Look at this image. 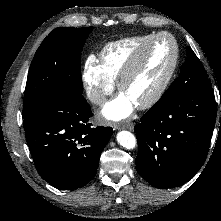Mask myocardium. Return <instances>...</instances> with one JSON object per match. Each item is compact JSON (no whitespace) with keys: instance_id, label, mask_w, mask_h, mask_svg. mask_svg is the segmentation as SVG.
I'll return each instance as SVG.
<instances>
[{"instance_id":"1","label":"myocardium","mask_w":221,"mask_h":221,"mask_svg":"<svg viewBox=\"0 0 221 221\" xmlns=\"http://www.w3.org/2000/svg\"><path fill=\"white\" fill-rule=\"evenodd\" d=\"M162 37H167L172 42V45H173L172 61L165 77L163 78V80L161 81L157 89L146 100L136 105L137 108L140 110H145V109H149L153 107L163 97V95L165 94L166 90L169 87V84L174 76V73L178 65V60H179V47L174 36L168 32H159V33L154 34L152 37H150L135 52V54L130 59L127 66L125 67V69L123 70V72L121 73V75L119 76L117 80L118 90L122 92L126 83L129 82L140 70L148 48L156 40Z\"/></svg>"}]
</instances>
